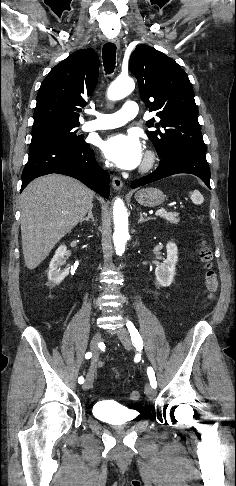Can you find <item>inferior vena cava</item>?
Masks as SVG:
<instances>
[{"instance_id": "inferior-vena-cava-1", "label": "inferior vena cava", "mask_w": 236, "mask_h": 486, "mask_svg": "<svg viewBox=\"0 0 236 486\" xmlns=\"http://www.w3.org/2000/svg\"><path fill=\"white\" fill-rule=\"evenodd\" d=\"M108 164H109V163H108V162H106V165H107V166H108Z\"/></svg>"}]
</instances>
